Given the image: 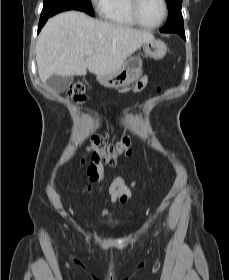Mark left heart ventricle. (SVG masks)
<instances>
[{
  "label": "left heart ventricle",
  "mask_w": 229,
  "mask_h": 280,
  "mask_svg": "<svg viewBox=\"0 0 229 280\" xmlns=\"http://www.w3.org/2000/svg\"><path fill=\"white\" fill-rule=\"evenodd\" d=\"M163 14L161 0H141L139 15L143 22L156 24L160 21Z\"/></svg>",
  "instance_id": "1"
}]
</instances>
